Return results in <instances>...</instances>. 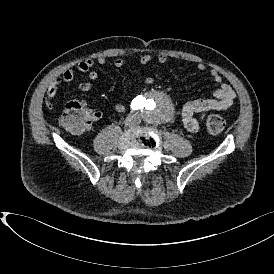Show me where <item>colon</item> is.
<instances>
[{
  "instance_id": "colon-1",
  "label": "colon",
  "mask_w": 274,
  "mask_h": 274,
  "mask_svg": "<svg viewBox=\"0 0 274 274\" xmlns=\"http://www.w3.org/2000/svg\"><path fill=\"white\" fill-rule=\"evenodd\" d=\"M90 119L89 111L82 107L81 103L70 101L64 105V111L59 117V122L73 133H81ZM206 128L210 134H220L225 129V121L221 116H210L206 122Z\"/></svg>"
}]
</instances>
